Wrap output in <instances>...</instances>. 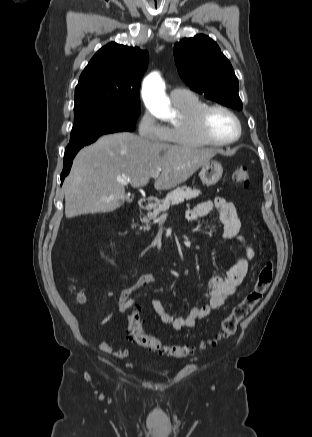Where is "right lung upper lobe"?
<instances>
[{"label":"right lung upper lobe","instance_id":"right-lung-upper-lobe-1","mask_svg":"<svg viewBox=\"0 0 312 437\" xmlns=\"http://www.w3.org/2000/svg\"><path fill=\"white\" fill-rule=\"evenodd\" d=\"M147 64V51L115 42L107 44L82 72L75 88V107L94 103H140V80Z\"/></svg>","mask_w":312,"mask_h":437}]
</instances>
